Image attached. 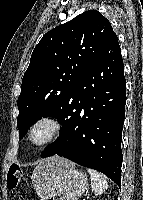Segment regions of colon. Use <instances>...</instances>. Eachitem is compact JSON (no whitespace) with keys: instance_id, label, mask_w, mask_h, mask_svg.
<instances>
[{"instance_id":"colon-1","label":"colon","mask_w":143,"mask_h":200,"mask_svg":"<svg viewBox=\"0 0 143 200\" xmlns=\"http://www.w3.org/2000/svg\"><path fill=\"white\" fill-rule=\"evenodd\" d=\"M21 178H22V170L20 169V167L16 164L11 165L7 173V180H6L7 188L9 190L16 189L20 183Z\"/></svg>"}]
</instances>
